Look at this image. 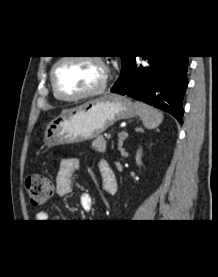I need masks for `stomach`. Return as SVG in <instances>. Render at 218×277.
I'll list each match as a JSON object with an SVG mask.
<instances>
[{
    "label": "stomach",
    "mask_w": 218,
    "mask_h": 277,
    "mask_svg": "<svg viewBox=\"0 0 218 277\" xmlns=\"http://www.w3.org/2000/svg\"><path fill=\"white\" fill-rule=\"evenodd\" d=\"M136 114L135 105L129 98L108 93L50 122L44 133V142L50 148L91 140L115 122L132 118Z\"/></svg>",
    "instance_id": "1"
}]
</instances>
